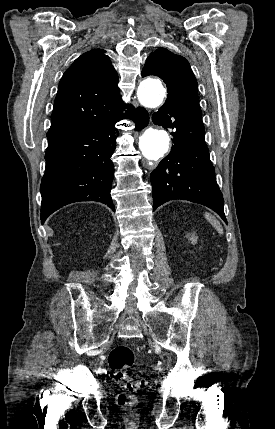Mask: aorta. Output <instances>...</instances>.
<instances>
[{
  "mask_svg": "<svg viewBox=\"0 0 275 429\" xmlns=\"http://www.w3.org/2000/svg\"><path fill=\"white\" fill-rule=\"evenodd\" d=\"M140 103L149 108L159 107L165 97V89L156 79L143 80L137 91ZM169 135L166 131L157 128H148L139 137V148L148 160H158L169 148Z\"/></svg>",
  "mask_w": 275,
  "mask_h": 429,
  "instance_id": "aorta-1",
  "label": "aorta"
}]
</instances>
